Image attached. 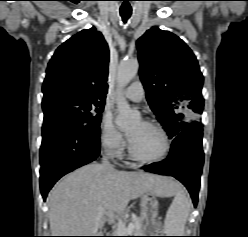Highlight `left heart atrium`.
I'll return each instance as SVG.
<instances>
[{
	"instance_id": "39dd6f15",
	"label": "left heart atrium",
	"mask_w": 248,
	"mask_h": 237,
	"mask_svg": "<svg viewBox=\"0 0 248 237\" xmlns=\"http://www.w3.org/2000/svg\"><path fill=\"white\" fill-rule=\"evenodd\" d=\"M128 138H129V140H131V138H132V135H131V134H128Z\"/></svg>"
}]
</instances>
